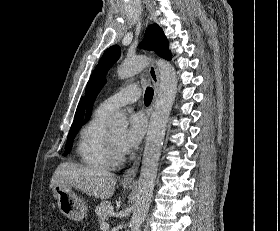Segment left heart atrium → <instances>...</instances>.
Wrapping results in <instances>:
<instances>
[{
  "label": "left heart atrium",
  "mask_w": 280,
  "mask_h": 231,
  "mask_svg": "<svg viewBox=\"0 0 280 231\" xmlns=\"http://www.w3.org/2000/svg\"><path fill=\"white\" fill-rule=\"evenodd\" d=\"M146 130L143 117L139 114L132 115L129 119L128 128L121 135L117 146L122 153H128L135 149L141 142Z\"/></svg>",
  "instance_id": "left-heart-atrium-1"
}]
</instances>
